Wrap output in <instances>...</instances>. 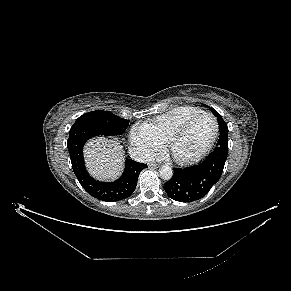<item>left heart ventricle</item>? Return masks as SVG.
<instances>
[{
	"mask_svg": "<svg viewBox=\"0 0 291 291\" xmlns=\"http://www.w3.org/2000/svg\"><path fill=\"white\" fill-rule=\"evenodd\" d=\"M214 122L210 117L196 120L174 144L173 152L178 157L188 158L202 151L212 138Z\"/></svg>",
	"mask_w": 291,
	"mask_h": 291,
	"instance_id": "b2bd125f",
	"label": "left heart ventricle"
}]
</instances>
